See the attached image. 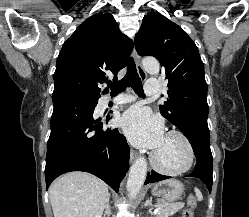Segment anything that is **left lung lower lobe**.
Returning <instances> with one entry per match:
<instances>
[{
    "label": "left lung lower lobe",
    "instance_id": "obj_1",
    "mask_svg": "<svg viewBox=\"0 0 249 217\" xmlns=\"http://www.w3.org/2000/svg\"><path fill=\"white\" fill-rule=\"evenodd\" d=\"M190 141L193 151L196 156L197 164L194 171L187 175L201 179L207 186L211 193L212 188V172L213 161L212 153L210 150L209 140V128L206 120H194L191 121L185 132H182ZM168 176H164L151 171L146 178L145 184L154 183L161 180L168 179Z\"/></svg>",
    "mask_w": 249,
    "mask_h": 217
}]
</instances>
